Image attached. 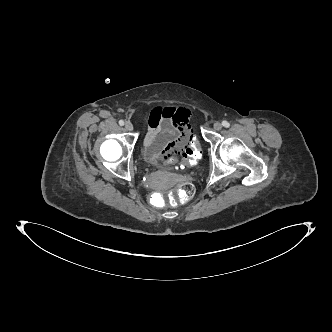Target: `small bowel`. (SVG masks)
Instances as JSON below:
<instances>
[{
    "instance_id": "small-bowel-1",
    "label": "small bowel",
    "mask_w": 332,
    "mask_h": 332,
    "mask_svg": "<svg viewBox=\"0 0 332 332\" xmlns=\"http://www.w3.org/2000/svg\"><path fill=\"white\" fill-rule=\"evenodd\" d=\"M190 110L185 107L155 106L147 117L143 159L165 166L170 158L180 157L192 136Z\"/></svg>"
}]
</instances>
